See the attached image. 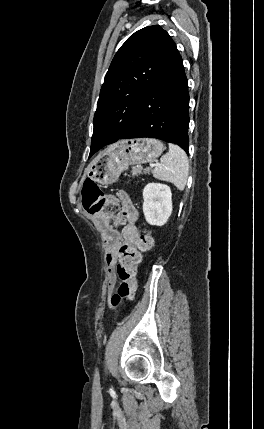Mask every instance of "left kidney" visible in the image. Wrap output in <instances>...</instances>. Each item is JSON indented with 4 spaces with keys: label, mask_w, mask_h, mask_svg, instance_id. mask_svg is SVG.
I'll list each match as a JSON object with an SVG mask.
<instances>
[{
    "label": "left kidney",
    "mask_w": 264,
    "mask_h": 429,
    "mask_svg": "<svg viewBox=\"0 0 264 429\" xmlns=\"http://www.w3.org/2000/svg\"><path fill=\"white\" fill-rule=\"evenodd\" d=\"M143 213L150 225H164L172 213V193L169 186L149 183L143 190Z\"/></svg>",
    "instance_id": "5707ae66"
}]
</instances>
